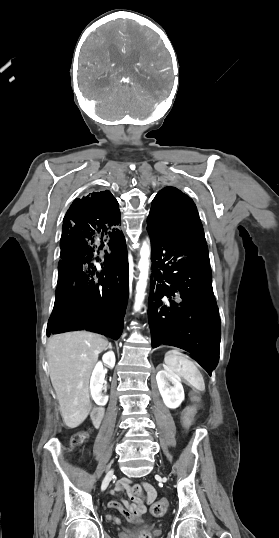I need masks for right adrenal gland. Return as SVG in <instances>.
Wrapping results in <instances>:
<instances>
[{
    "label": "right adrenal gland",
    "mask_w": 279,
    "mask_h": 538,
    "mask_svg": "<svg viewBox=\"0 0 279 538\" xmlns=\"http://www.w3.org/2000/svg\"><path fill=\"white\" fill-rule=\"evenodd\" d=\"M108 348H111V350H112L111 342H109V346H108Z\"/></svg>",
    "instance_id": "2a0ac1e0"
}]
</instances>
